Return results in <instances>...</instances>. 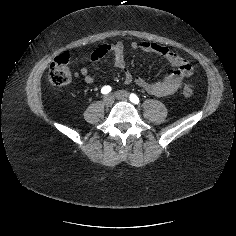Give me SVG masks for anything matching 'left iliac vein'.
Listing matches in <instances>:
<instances>
[{
	"label": "left iliac vein",
	"instance_id": "4c4485c4",
	"mask_svg": "<svg viewBox=\"0 0 236 236\" xmlns=\"http://www.w3.org/2000/svg\"><path fill=\"white\" fill-rule=\"evenodd\" d=\"M114 97L118 100L127 101L129 99V93L124 90H120L114 93Z\"/></svg>",
	"mask_w": 236,
	"mask_h": 236
}]
</instances>
